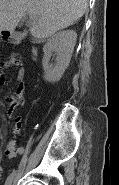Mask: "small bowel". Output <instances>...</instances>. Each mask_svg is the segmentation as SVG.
Returning <instances> with one entry per match:
<instances>
[{
	"instance_id": "small-bowel-1",
	"label": "small bowel",
	"mask_w": 119,
	"mask_h": 185,
	"mask_svg": "<svg viewBox=\"0 0 119 185\" xmlns=\"http://www.w3.org/2000/svg\"><path fill=\"white\" fill-rule=\"evenodd\" d=\"M15 67L16 71V80H17V88L15 94L13 96H9L6 98L7 104V115L10 117L16 110V108L20 105H24L23 93L25 90V69L21 66L20 60L16 56H12L8 61L2 62L0 64L1 74H0V85H4L6 82L5 75L3 70L6 68ZM22 129V121L21 117L17 116L15 118V124L13 128L14 137H18L21 133ZM25 149L22 146H16V140L13 139L9 142L6 153L10 158L16 157L17 155L24 154Z\"/></svg>"
}]
</instances>
